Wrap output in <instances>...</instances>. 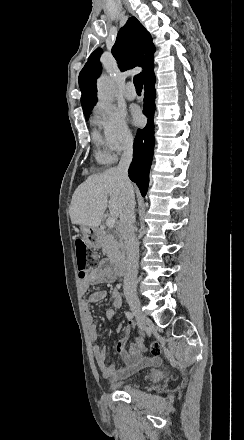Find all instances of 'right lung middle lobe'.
Returning a JSON list of instances; mask_svg holds the SVG:
<instances>
[{
  "label": "right lung middle lobe",
  "instance_id": "1",
  "mask_svg": "<svg viewBox=\"0 0 244 440\" xmlns=\"http://www.w3.org/2000/svg\"><path fill=\"white\" fill-rule=\"evenodd\" d=\"M88 113H89V112H84V115H85V117H86V120H88V117H89V116H88Z\"/></svg>",
  "mask_w": 244,
  "mask_h": 440
}]
</instances>
